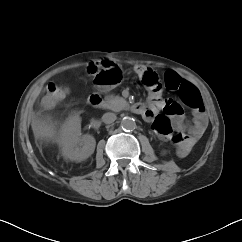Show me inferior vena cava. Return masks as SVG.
Returning a JSON list of instances; mask_svg holds the SVG:
<instances>
[{"mask_svg":"<svg viewBox=\"0 0 242 242\" xmlns=\"http://www.w3.org/2000/svg\"><path fill=\"white\" fill-rule=\"evenodd\" d=\"M116 114L115 113H111V112H107L105 114H103L102 116V121L105 124H111L116 120Z\"/></svg>","mask_w":242,"mask_h":242,"instance_id":"obj_1","label":"inferior vena cava"}]
</instances>
